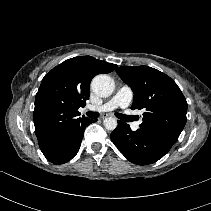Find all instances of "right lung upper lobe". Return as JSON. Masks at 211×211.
<instances>
[{
    "label": "right lung upper lobe",
    "mask_w": 211,
    "mask_h": 211,
    "mask_svg": "<svg viewBox=\"0 0 211 211\" xmlns=\"http://www.w3.org/2000/svg\"><path fill=\"white\" fill-rule=\"evenodd\" d=\"M117 65L91 56L68 59L47 73L36 94L33 112L39 146L81 122L78 108L90 95V82L98 74L113 71Z\"/></svg>",
    "instance_id": "right-lung-upper-lobe-1"
}]
</instances>
